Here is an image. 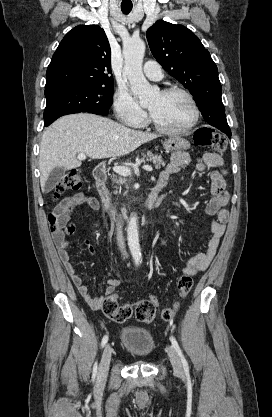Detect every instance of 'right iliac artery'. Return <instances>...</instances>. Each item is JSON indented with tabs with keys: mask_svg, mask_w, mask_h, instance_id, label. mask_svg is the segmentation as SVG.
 Here are the masks:
<instances>
[{
	"mask_svg": "<svg viewBox=\"0 0 272 417\" xmlns=\"http://www.w3.org/2000/svg\"><path fill=\"white\" fill-rule=\"evenodd\" d=\"M107 341H108V336H107V335H105V336L102 338V341H101V346H102V347H104V346H105V344L107 343Z\"/></svg>",
	"mask_w": 272,
	"mask_h": 417,
	"instance_id": "1",
	"label": "right iliac artery"
}]
</instances>
